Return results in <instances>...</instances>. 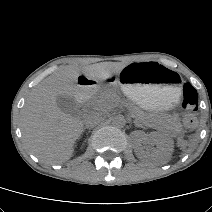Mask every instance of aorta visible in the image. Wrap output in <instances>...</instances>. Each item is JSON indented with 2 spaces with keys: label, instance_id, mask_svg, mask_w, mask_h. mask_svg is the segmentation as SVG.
<instances>
[{
  "label": "aorta",
  "instance_id": "1",
  "mask_svg": "<svg viewBox=\"0 0 212 212\" xmlns=\"http://www.w3.org/2000/svg\"><path fill=\"white\" fill-rule=\"evenodd\" d=\"M112 124L117 128H123L126 124V119L123 115H117L113 118Z\"/></svg>",
  "mask_w": 212,
  "mask_h": 212
}]
</instances>
